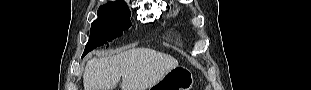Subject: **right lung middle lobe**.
Returning a JSON list of instances; mask_svg holds the SVG:
<instances>
[{"mask_svg": "<svg viewBox=\"0 0 311 90\" xmlns=\"http://www.w3.org/2000/svg\"><path fill=\"white\" fill-rule=\"evenodd\" d=\"M131 25L130 12L126 4L102 5L99 8L97 20L92 23L90 38L83 56L97 46L120 37L123 31L129 29Z\"/></svg>", "mask_w": 311, "mask_h": 90, "instance_id": "1", "label": "right lung middle lobe"}]
</instances>
